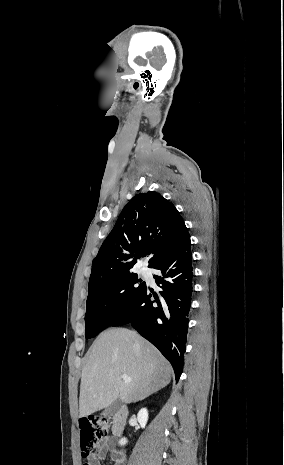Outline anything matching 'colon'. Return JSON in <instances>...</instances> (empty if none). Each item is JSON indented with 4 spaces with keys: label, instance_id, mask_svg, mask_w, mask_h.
Wrapping results in <instances>:
<instances>
[{
    "label": "colon",
    "instance_id": "5ec220e1",
    "mask_svg": "<svg viewBox=\"0 0 284 465\" xmlns=\"http://www.w3.org/2000/svg\"><path fill=\"white\" fill-rule=\"evenodd\" d=\"M108 424H98L92 422L89 425H80V455L83 459H87L97 440H101L108 433Z\"/></svg>",
    "mask_w": 284,
    "mask_h": 465
}]
</instances>
